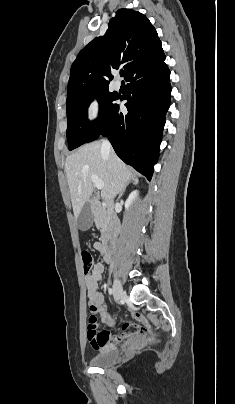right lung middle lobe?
<instances>
[{
	"mask_svg": "<svg viewBox=\"0 0 235 404\" xmlns=\"http://www.w3.org/2000/svg\"><path fill=\"white\" fill-rule=\"evenodd\" d=\"M96 99L100 102V115L91 122L87 119L89 104ZM118 97L108 89L100 90L81 98L67 102V140L69 150H73L86 143L95 130L102 124L108 111L115 105Z\"/></svg>",
	"mask_w": 235,
	"mask_h": 404,
	"instance_id": "1",
	"label": "right lung middle lobe"
}]
</instances>
